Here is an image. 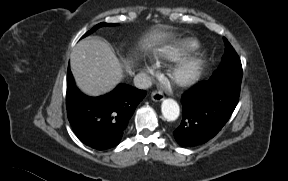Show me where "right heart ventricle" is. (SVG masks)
I'll list each match as a JSON object with an SVG mask.
<instances>
[{"label": "right heart ventricle", "instance_id": "right-heart-ventricle-1", "mask_svg": "<svg viewBox=\"0 0 288 181\" xmlns=\"http://www.w3.org/2000/svg\"><path fill=\"white\" fill-rule=\"evenodd\" d=\"M199 46L200 42L196 38H179L159 47L155 51V56L166 61H177L184 55L197 50Z\"/></svg>", "mask_w": 288, "mask_h": 181}]
</instances>
